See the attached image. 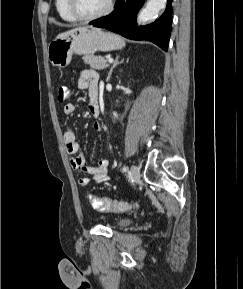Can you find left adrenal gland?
I'll list each match as a JSON object with an SVG mask.
<instances>
[{"mask_svg":"<svg viewBox=\"0 0 243 289\" xmlns=\"http://www.w3.org/2000/svg\"><path fill=\"white\" fill-rule=\"evenodd\" d=\"M123 61H124V59H122V60L119 62V55L116 56V59H115L113 65H112V67H111V69H110V71H109V73H108L107 80L110 79L113 69H114L118 64L123 63Z\"/></svg>","mask_w":243,"mask_h":289,"instance_id":"1","label":"left adrenal gland"}]
</instances>
